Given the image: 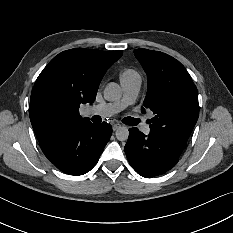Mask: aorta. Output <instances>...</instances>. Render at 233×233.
<instances>
[{
  "label": "aorta",
  "mask_w": 233,
  "mask_h": 233,
  "mask_svg": "<svg viewBox=\"0 0 233 233\" xmlns=\"http://www.w3.org/2000/svg\"><path fill=\"white\" fill-rule=\"evenodd\" d=\"M122 96V89L119 84L115 82H110L107 84L104 90V98L107 101H117ZM116 138L119 141H126L129 136V131L127 127H121L120 129L116 130L115 132Z\"/></svg>",
  "instance_id": "obj_1"
}]
</instances>
